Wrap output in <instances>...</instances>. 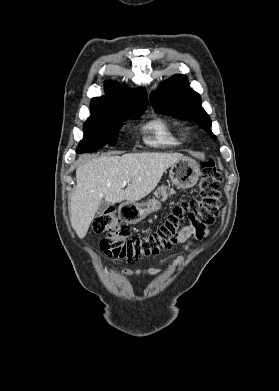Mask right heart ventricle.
Wrapping results in <instances>:
<instances>
[{"label":"right heart ventricle","mask_w":279,"mask_h":391,"mask_svg":"<svg viewBox=\"0 0 279 391\" xmlns=\"http://www.w3.org/2000/svg\"><path fill=\"white\" fill-rule=\"evenodd\" d=\"M146 129L151 133L148 142L152 145L175 146L180 144V140L175 135L172 126L163 119L149 122Z\"/></svg>","instance_id":"1"}]
</instances>
